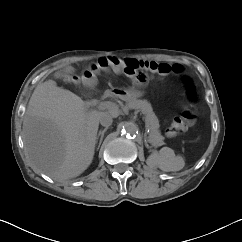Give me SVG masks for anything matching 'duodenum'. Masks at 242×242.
Masks as SVG:
<instances>
[{"instance_id":"duodenum-1","label":"duodenum","mask_w":242,"mask_h":242,"mask_svg":"<svg viewBox=\"0 0 242 242\" xmlns=\"http://www.w3.org/2000/svg\"><path fill=\"white\" fill-rule=\"evenodd\" d=\"M115 95V93L113 91H107L103 94L104 98H111Z\"/></svg>"}]
</instances>
